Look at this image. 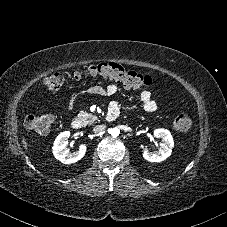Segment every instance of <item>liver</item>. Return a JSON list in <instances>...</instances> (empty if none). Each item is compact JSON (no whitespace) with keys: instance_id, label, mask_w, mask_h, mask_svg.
Segmentation results:
<instances>
[{"instance_id":"obj_1","label":"liver","mask_w":227,"mask_h":227,"mask_svg":"<svg viewBox=\"0 0 227 227\" xmlns=\"http://www.w3.org/2000/svg\"><path fill=\"white\" fill-rule=\"evenodd\" d=\"M22 143L24 145V148L27 149L28 144H27L26 139L24 137L22 138Z\"/></svg>"}]
</instances>
